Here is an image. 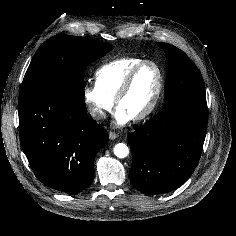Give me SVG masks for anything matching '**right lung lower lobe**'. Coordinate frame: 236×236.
Instances as JSON below:
<instances>
[{"mask_svg": "<svg viewBox=\"0 0 236 236\" xmlns=\"http://www.w3.org/2000/svg\"><path fill=\"white\" fill-rule=\"evenodd\" d=\"M18 107L21 146L37 179L70 195L87 188L108 134L88 117L84 99L39 90L20 96Z\"/></svg>", "mask_w": 236, "mask_h": 236, "instance_id": "1", "label": "right lung lower lobe"}]
</instances>
